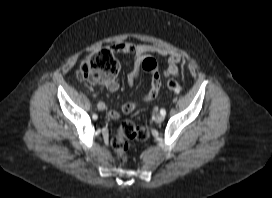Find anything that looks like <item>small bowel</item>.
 <instances>
[{
	"label": "small bowel",
	"instance_id": "obj_1",
	"mask_svg": "<svg viewBox=\"0 0 272 198\" xmlns=\"http://www.w3.org/2000/svg\"><path fill=\"white\" fill-rule=\"evenodd\" d=\"M114 50L119 54H132L133 55V66L130 72L127 74V85L132 87L139 74V69L142 61L149 55H160L166 58V66L163 71V75L166 77H177L179 75V66L182 61L180 54L171 52L165 48L149 45V44H131V43H118L114 46ZM151 85L149 91L141 98L140 101L148 102L153 100L161 87V77L158 70L151 72ZM106 89L109 91L118 90V82L116 80H111L105 84ZM139 100L125 102L121 107V112L124 114H129L135 110V108L140 103ZM99 106V104H98ZM105 106L104 103L100 107ZM120 113L117 110H110L108 112L109 119L119 118Z\"/></svg>",
	"mask_w": 272,
	"mask_h": 198
}]
</instances>
